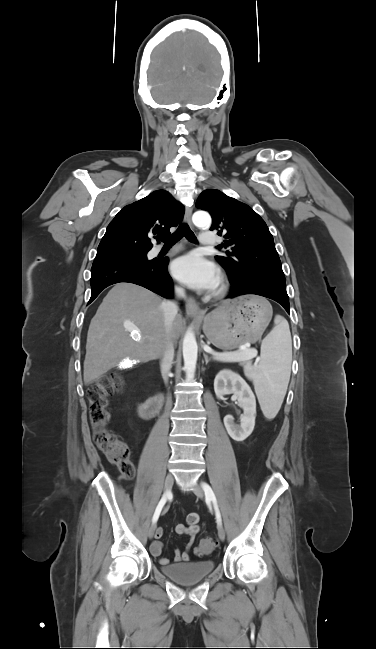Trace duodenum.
Segmentation results:
<instances>
[{
    "label": "duodenum",
    "mask_w": 376,
    "mask_h": 649,
    "mask_svg": "<svg viewBox=\"0 0 376 649\" xmlns=\"http://www.w3.org/2000/svg\"><path fill=\"white\" fill-rule=\"evenodd\" d=\"M162 400L159 396L147 398L137 403V411L143 419L154 417L161 409Z\"/></svg>",
    "instance_id": "duodenum-1"
}]
</instances>
